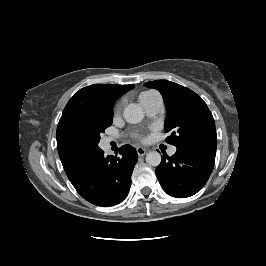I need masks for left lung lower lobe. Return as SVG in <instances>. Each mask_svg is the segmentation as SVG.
<instances>
[{
  "label": "left lung lower lobe",
  "instance_id": "obj_1",
  "mask_svg": "<svg viewBox=\"0 0 266 266\" xmlns=\"http://www.w3.org/2000/svg\"><path fill=\"white\" fill-rule=\"evenodd\" d=\"M216 147H177L171 157H162L155 173L172 197L185 198L196 194L208 181L215 162Z\"/></svg>",
  "mask_w": 266,
  "mask_h": 266
}]
</instances>
